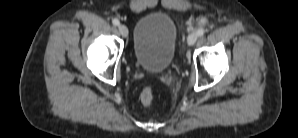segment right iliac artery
Segmentation results:
<instances>
[{"mask_svg":"<svg viewBox=\"0 0 298 138\" xmlns=\"http://www.w3.org/2000/svg\"><path fill=\"white\" fill-rule=\"evenodd\" d=\"M112 23H113V25H115V26H119V25H120V22H119L118 19H113V20H112Z\"/></svg>","mask_w":298,"mask_h":138,"instance_id":"obj_1","label":"right iliac artery"}]
</instances>
